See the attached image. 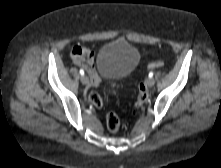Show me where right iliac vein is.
Listing matches in <instances>:
<instances>
[{"label": "right iliac vein", "instance_id": "right-iliac-vein-1", "mask_svg": "<svg viewBox=\"0 0 221 168\" xmlns=\"http://www.w3.org/2000/svg\"><path fill=\"white\" fill-rule=\"evenodd\" d=\"M81 82L85 85L89 84V78L86 75L81 76Z\"/></svg>", "mask_w": 221, "mask_h": 168}]
</instances>
